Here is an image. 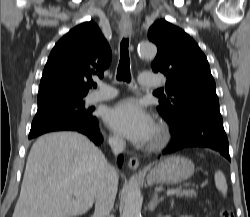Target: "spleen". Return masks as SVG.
<instances>
[{
  "mask_svg": "<svg viewBox=\"0 0 250 217\" xmlns=\"http://www.w3.org/2000/svg\"><path fill=\"white\" fill-rule=\"evenodd\" d=\"M214 180H215L216 188L225 197L227 195L228 186H227L226 178H225V175L223 174V172L220 170L216 171L215 176H214Z\"/></svg>",
  "mask_w": 250,
  "mask_h": 217,
  "instance_id": "obj_1",
  "label": "spleen"
}]
</instances>
